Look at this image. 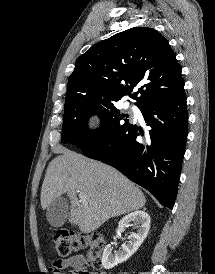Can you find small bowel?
<instances>
[{
    "mask_svg": "<svg viewBox=\"0 0 215 274\" xmlns=\"http://www.w3.org/2000/svg\"><path fill=\"white\" fill-rule=\"evenodd\" d=\"M85 258L82 255H74L66 259L56 260L53 263L51 271L54 274H67L66 270H70L72 274H81L85 272ZM99 274H106L105 272Z\"/></svg>",
    "mask_w": 215,
    "mask_h": 274,
    "instance_id": "obj_1",
    "label": "small bowel"
}]
</instances>
